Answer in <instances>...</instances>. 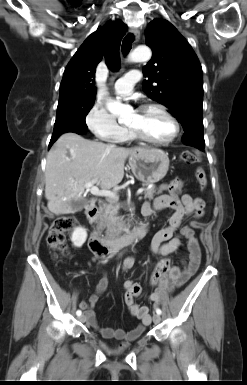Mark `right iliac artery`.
<instances>
[{
    "instance_id": "1",
    "label": "right iliac artery",
    "mask_w": 247,
    "mask_h": 385,
    "mask_svg": "<svg viewBox=\"0 0 247 385\" xmlns=\"http://www.w3.org/2000/svg\"><path fill=\"white\" fill-rule=\"evenodd\" d=\"M81 314H82L81 310H77V311H76V315H77V316H80Z\"/></svg>"
}]
</instances>
